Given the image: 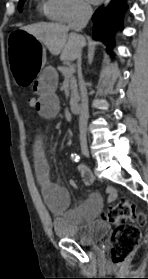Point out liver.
Wrapping results in <instances>:
<instances>
[{"instance_id": "obj_1", "label": "liver", "mask_w": 148, "mask_h": 279, "mask_svg": "<svg viewBox=\"0 0 148 279\" xmlns=\"http://www.w3.org/2000/svg\"><path fill=\"white\" fill-rule=\"evenodd\" d=\"M44 44L52 55H59L62 61H74L85 46V39L68 34L69 28L59 23H37L22 28Z\"/></svg>"}]
</instances>
